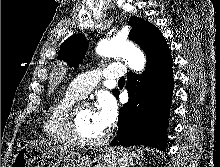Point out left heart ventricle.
<instances>
[{
	"label": "left heart ventricle",
	"instance_id": "b2bd125f",
	"mask_svg": "<svg viewBox=\"0 0 220 167\" xmlns=\"http://www.w3.org/2000/svg\"><path fill=\"white\" fill-rule=\"evenodd\" d=\"M77 128L84 140H96L105 133V130L96 124L91 109L84 106L80 107L77 113Z\"/></svg>",
	"mask_w": 220,
	"mask_h": 167
}]
</instances>
